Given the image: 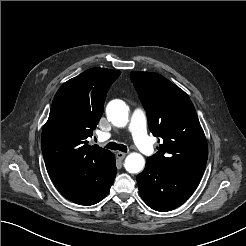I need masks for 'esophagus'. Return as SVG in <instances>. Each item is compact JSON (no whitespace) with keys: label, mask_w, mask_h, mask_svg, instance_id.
<instances>
[{"label":"esophagus","mask_w":246,"mask_h":246,"mask_svg":"<svg viewBox=\"0 0 246 246\" xmlns=\"http://www.w3.org/2000/svg\"><path fill=\"white\" fill-rule=\"evenodd\" d=\"M125 156H126V153H124V152H120V151H119V152L116 153V157H117L118 159H120V160L124 159Z\"/></svg>","instance_id":"34e87169"}]
</instances>
